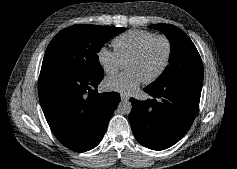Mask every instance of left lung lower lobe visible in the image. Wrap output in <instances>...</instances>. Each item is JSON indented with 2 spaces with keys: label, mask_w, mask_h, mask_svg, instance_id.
<instances>
[{
  "label": "left lung lower lobe",
  "mask_w": 237,
  "mask_h": 169,
  "mask_svg": "<svg viewBox=\"0 0 237 169\" xmlns=\"http://www.w3.org/2000/svg\"><path fill=\"white\" fill-rule=\"evenodd\" d=\"M202 84L203 75H194L147 86L144 91L152 100L131 98L130 124L137 141L152 150H164L179 141L197 114Z\"/></svg>",
  "instance_id": "0a47b994"
}]
</instances>
